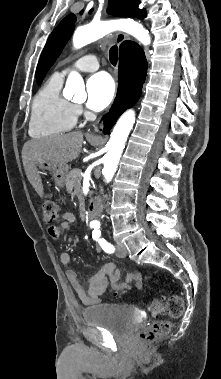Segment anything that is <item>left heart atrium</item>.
<instances>
[{
    "instance_id": "39dd6f15",
    "label": "left heart atrium",
    "mask_w": 221,
    "mask_h": 379,
    "mask_svg": "<svg viewBox=\"0 0 221 379\" xmlns=\"http://www.w3.org/2000/svg\"><path fill=\"white\" fill-rule=\"evenodd\" d=\"M86 90L87 107L93 111H101L113 100L116 88L113 79L102 72L89 78Z\"/></svg>"
}]
</instances>
